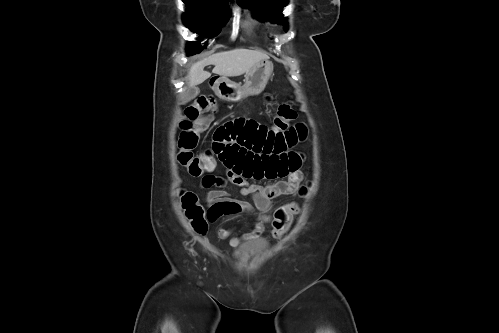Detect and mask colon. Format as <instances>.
Returning <instances> with one entry per match:
<instances>
[{
	"mask_svg": "<svg viewBox=\"0 0 499 333\" xmlns=\"http://www.w3.org/2000/svg\"><path fill=\"white\" fill-rule=\"evenodd\" d=\"M206 98H200L194 105L186 109L187 120L181 124L179 138L178 162L187 169L192 176H199L202 172L213 165L212 159L205 154L198 156L194 153L199 142V132L205 126L200 117L201 112L209 107ZM296 110L291 103H282L278 106L272 121V129L275 131H286L291 122L296 118ZM183 210L189 219L192 228L200 234L208 229V211L199 201L196 194L184 192L181 196ZM299 213V206L295 202L280 206L274 213L273 234L280 237L292 225L294 218Z\"/></svg>",
	"mask_w": 499,
	"mask_h": 333,
	"instance_id": "1",
	"label": "colon"
}]
</instances>
